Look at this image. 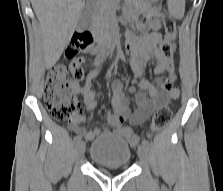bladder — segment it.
<instances>
[{
	"label": "bladder",
	"mask_w": 223,
	"mask_h": 191,
	"mask_svg": "<svg viewBox=\"0 0 223 191\" xmlns=\"http://www.w3.org/2000/svg\"><path fill=\"white\" fill-rule=\"evenodd\" d=\"M90 158L100 166L126 167L132 159V151L124 138L108 134L93 141Z\"/></svg>",
	"instance_id": "bladder-1"
}]
</instances>
